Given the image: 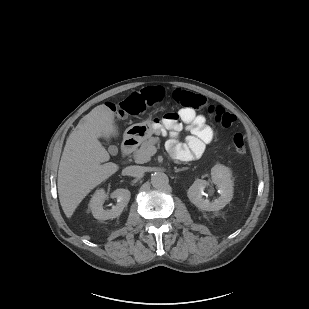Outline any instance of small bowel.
I'll use <instances>...</instances> for the list:
<instances>
[{"mask_svg":"<svg viewBox=\"0 0 309 309\" xmlns=\"http://www.w3.org/2000/svg\"><path fill=\"white\" fill-rule=\"evenodd\" d=\"M183 125L190 135L184 144L177 140V134ZM163 126L171 133L167 143L169 152L181 159L197 157L204 151L205 145L211 142L214 132L202 115L196 114L192 109L184 108L177 113H169L163 119Z\"/></svg>","mask_w":309,"mask_h":309,"instance_id":"c3829d8e","label":"small bowel"}]
</instances>
